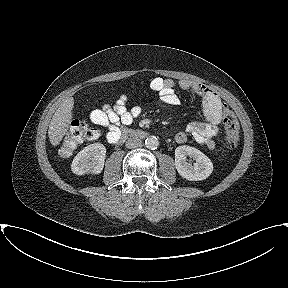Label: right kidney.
<instances>
[{
  "instance_id": "right-kidney-1",
  "label": "right kidney",
  "mask_w": 288,
  "mask_h": 288,
  "mask_svg": "<svg viewBox=\"0 0 288 288\" xmlns=\"http://www.w3.org/2000/svg\"><path fill=\"white\" fill-rule=\"evenodd\" d=\"M106 148L101 143L88 145L73 159L71 170L77 175L99 174L103 170Z\"/></svg>"
}]
</instances>
